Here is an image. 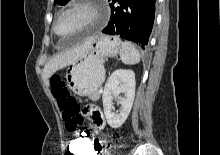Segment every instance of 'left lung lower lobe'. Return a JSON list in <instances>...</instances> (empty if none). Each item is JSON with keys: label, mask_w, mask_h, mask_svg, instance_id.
Segmentation results:
<instances>
[{"label": "left lung lower lobe", "mask_w": 220, "mask_h": 155, "mask_svg": "<svg viewBox=\"0 0 220 155\" xmlns=\"http://www.w3.org/2000/svg\"><path fill=\"white\" fill-rule=\"evenodd\" d=\"M156 0H112L110 21L103 33L117 35L137 43L148 44L155 17Z\"/></svg>", "instance_id": "0a47b994"}]
</instances>
